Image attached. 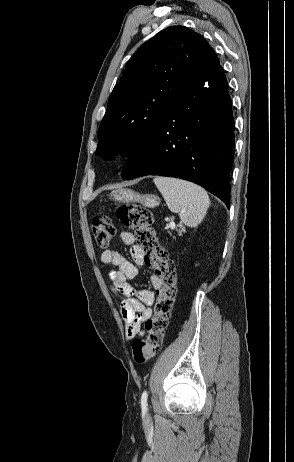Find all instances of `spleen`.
<instances>
[{"label": "spleen", "mask_w": 294, "mask_h": 462, "mask_svg": "<svg viewBox=\"0 0 294 462\" xmlns=\"http://www.w3.org/2000/svg\"><path fill=\"white\" fill-rule=\"evenodd\" d=\"M154 183L168 208L174 213H179L185 225L196 227L203 220L210 200L202 187L169 177H155Z\"/></svg>", "instance_id": "3e777b00"}]
</instances>
